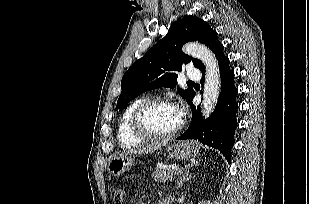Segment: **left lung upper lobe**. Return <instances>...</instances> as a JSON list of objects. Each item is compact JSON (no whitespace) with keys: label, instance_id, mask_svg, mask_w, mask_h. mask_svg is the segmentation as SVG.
Segmentation results:
<instances>
[{"label":"left lung upper lobe","instance_id":"5c2ea615","mask_svg":"<svg viewBox=\"0 0 309 204\" xmlns=\"http://www.w3.org/2000/svg\"><path fill=\"white\" fill-rule=\"evenodd\" d=\"M189 41H199L208 46L215 56L223 46L217 37V32L210 25L196 16H185L174 22L168 33L157 42L146 54L137 60L125 72L122 81V92L117 101V109L123 110L141 93L159 87L174 88L176 72L182 70V65L189 62L203 71L204 64L182 52V45ZM187 103L195 93L190 89H177Z\"/></svg>","mask_w":309,"mask_h":204}]
</instances>
